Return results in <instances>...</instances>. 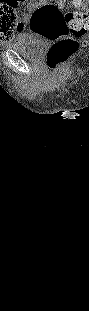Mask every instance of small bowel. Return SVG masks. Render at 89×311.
I'll list each match as a JSON object with an SVG mask.
<instances>
[{
  "mask_svg": "<svg viewBox=\"0 0 89 311\" xmlns=\"http://www.w3.org/2000/svg\"><path fill=\"white\" fill-rule=\"evenodd\" d=\"M22 27L23 26L20 24V25H18V27L16 29L13 30V32L11 33L12 38L16 37V40H18V41H22L25 39L26 33L22 31ZM2 37L6 38V35L2 34Z\"/></svg>",
  "mask_w": 89,
  "mask_h": 311,
  "instance_id": "small-bowel-1",
  "label": "small bowel"
}]
</instances>
